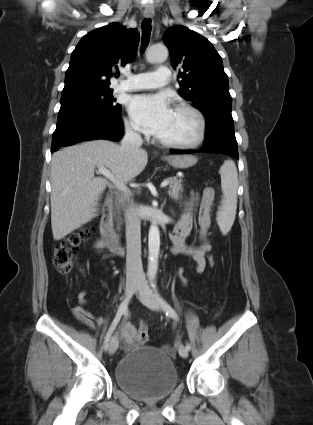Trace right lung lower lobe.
Wrapping results in <instances>:
<instances>
[{
	"label": "right lung lower lobe",
	"mask_w": 313,
	"mask_h": 425,
	"mask_svg": "<svg viewBox=\"0 0 313 425\" xmlns=\"http://www.w3.org/2000/svg\"><path fill=\"white\" fill-rule=\"evenodd\" d=\"M120 111L121 109H108L82 99L61 100L51 152L81 141L119 140L123 135Z\"/></svg>",
	"instance_id": "98d812e1"
}]
</instances>
